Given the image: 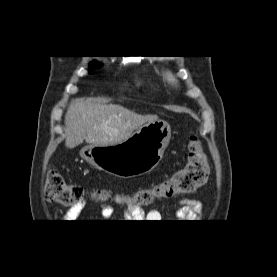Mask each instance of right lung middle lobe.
Instances as JSON below:
<instances>
[{
  "label": "right lung middle lobe",
  "instance_id": "right-lung-middle-lobe-1",
  "mask_svg": "<svg viewBox=\"0 0 277 277\" xmlns=\"http://www.w3.org/2000/svg\"><path fill=\"white\" fill-rule=\"evenodd\" d=\"M100 66V64L98 63V62H92L91 63V67H99Z\"/></svg>",
  "mask_w": 277,
  "mask_h": 277
}]
</instances>
